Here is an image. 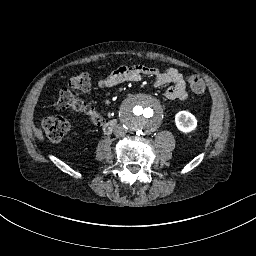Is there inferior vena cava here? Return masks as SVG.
Instances as JSON below:
<instances>
[{
	"label": "inferior vena cava",
	"mask_w": 256,
	"mask_h": 256,
	"mask_svg": "<svg viewBox=\"0 0 256 256\" xmlns=\"http://www.w3.org/2000/svg\"><path fill=\"white\" fill-rule=\"evenodd\" d=\"M127 133V129L122 125H117L114 127V134L119 137L125 136Z\"/></svg>",
	"instance_id": "1"
}]
</instances>
